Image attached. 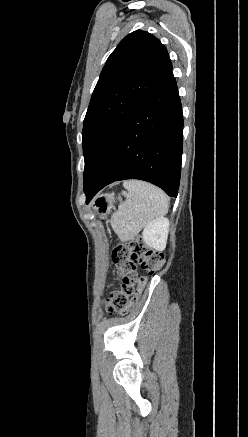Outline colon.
<instances>
[{
    "label": "colon",
    "mask_w": 248,
    "mask_h": 437,
    "mask_svg": "<svg viewBox=\"0 0 248 437\" xmlns=\"http://www.w3.org/2000/svg\"><path fill=\"white\" fill-rule=\"evenodd\" d=\"M112 261L124 275L120 288L111 293L106 301V311L127 314L137 303L145 283V277L137 272L140 266L147 274L152 275L164 264V255L146 246L139 238L117 244L112 250Z\"/></svg>",
    "instance_id": "5ec220e1"
}]
</instances>
